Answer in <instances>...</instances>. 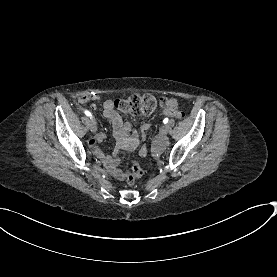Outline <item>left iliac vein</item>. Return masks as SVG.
<instances>
[{"instance_id": "1", "label": "left iliac vein", "mask_w": 277, "mask_h": 277, "mask_svg": "<svg viewBox=\"0 0 277 277\" xmlns=\"http://www.w3.org/2000/svg\"><path fill=\"white\" fill-rule=\"evenodd\" d=\"M160 131H161V134L162 135H166L168 133V126L167 125H163L161 128H160Z\"/></svg>"}]
</instances>
